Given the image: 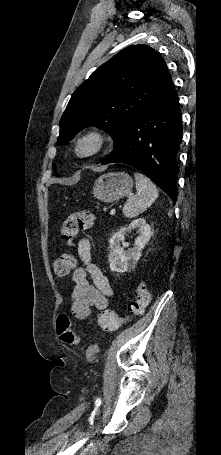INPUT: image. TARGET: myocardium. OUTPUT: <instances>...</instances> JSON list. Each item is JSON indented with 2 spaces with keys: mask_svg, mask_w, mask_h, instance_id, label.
<instances>
[{
  "mask_svg": "<svg viewBox=\"0 0 221 455\" xmlns=\"http://www.w3.org/2000/svg\"><path fill=\"white\" fill-rule=\"evenodd\" d=\"M105 135L98 129H88L81 133L74 144V151L80 158H88L99 153L105 146Z\"/></svg>",
  "mask_w": 221,
  "mask_h": 455,
  "instance_id": "obj_1",
  "label": "myocardium"
}]
</instances>
